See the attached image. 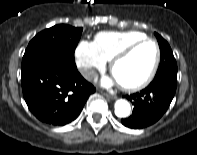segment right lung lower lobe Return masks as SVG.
I'll return each mask as SVG.
<instances>
[{"mask_svg": "<svg viewBox=\"0 0 197 155\" xmlns=\"http://www.w3.org/2000/svg\"><path fill=\"white\" fill-rule=\"evenodd\" d=\"M24 99L42 122L63 126L75 120L95 92L77 71L74 60L48 59L21 78Z\"/></svg>", "mask_w": 197, "mask_h": 155, "instance_id": "98d812e1", "label": "right lung lower lobe"}]
</instances>
